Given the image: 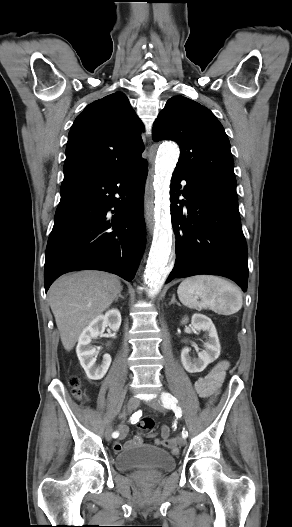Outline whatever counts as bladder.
<instances>
[{"mask_svg":"<svg viewBox=\"0 0 292 527\" xmlns=\"http://www.w3.org/2000/svg\"><path fill=\"white\" fill-rule=\"evenodd\" d=\"M115 465L120 471L137 469L169 471L174 468L175 459L168 451L160 447L139 445L119 453Z\"/></svg>","mask_w":292,"mask_h":527,"instance_id":"1","label":"bladder"}]
</instances>
